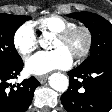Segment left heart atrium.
<instances>
[{
    "instance_id": "left-heart-atrium-1",
    "label": "left heart atrium",
    "mask_w": 112,
    "mask_h": 112,
    "mask_svg": "<svg viewBox=\"0 0 112 112\" xmlns=\"http://www.w3.org/2000/svg\"><path fill=\"white\" fill-rule=\"evenodd\" d=\"M72 64L71 54L64 48L41 51L26 60L30 74L42 75L55 69H66Z\"/></svg>"
}]
</instances>
